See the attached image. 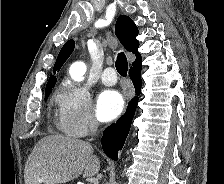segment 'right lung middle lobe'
Segmentation results:
<instances>
[{
  "instance_id": "obj_1",
  "label": "right lung middle lobe",
  "mask_w": 224,
  "mask_h": 184,
  "mask_svg": "<svg viewBox=\"0 0 224 184\" xmlns=\"http://www.w3.org/2000/svg\"><path fill=\"white\" fill-rule=\"evenodd\" d=\"M51 90H52V89H49V90H46V91H45V96H46V97H45V101L47 100V97L49 96Z\"/></svg>"
}]
</instances>
